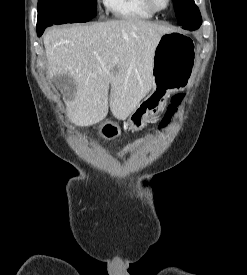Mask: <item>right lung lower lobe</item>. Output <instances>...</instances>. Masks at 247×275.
Here are the masks:
<instances>
[{
  "label": "right lung lower lobe",
  "mask_w": 247,
  "mask_h": 275,
  "mask_svg": "<svg viewBox=\"0 0 247 275\" xmlns=\"http://www.w3.org/2000/svg\"><path fill=\"white\" fill-rule=\"evenodd\" d=\"M46 27H37V34L38 36H41L44 32Z\"/></svg>",
  "instance_id": "right-lung-lower-lobe-1"
}]
</instances>
